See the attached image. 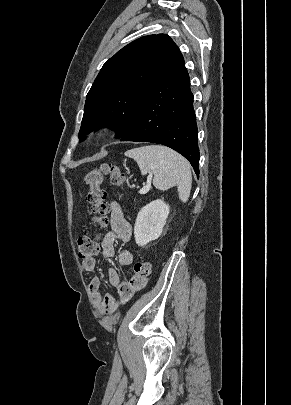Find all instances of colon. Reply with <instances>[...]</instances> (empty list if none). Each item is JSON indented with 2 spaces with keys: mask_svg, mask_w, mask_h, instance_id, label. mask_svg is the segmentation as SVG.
Returning a JSON list of instances; mask_svg holds the SVG:
<instances>
[{
  "mask_svg": "<svg viewBox=\"0 0 291 405\" xmlns=\"http://www.w3.org/2000/svg\"><path fill=\"white\" fill-rule=\"evenodd\" d=\"M109 175L111 184L120 187L125 182V173L120 166L112 163H101L95 168L89 170L84 183L89 187L87 201L91 205L94 215V222L100 226L107 223L108 203L106 202V192L103 188L104 177ZM99 237L95 234H86L80 236L77 240V253L81 260H88L97 254L99 250ZM152 273L151 262H138L133 268V277L135 280H146Z\"/></svg>",
  "mask_w": 291,
  "mask_h": 405,
  "instance_id": "5ec220e1",
  "label": "colon"
}]
</instances>
